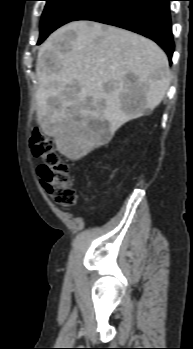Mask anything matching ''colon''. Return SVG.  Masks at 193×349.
Returning a JSON list of instances; mask_svg holds the SVG:
<instances>
[{
  "label": "colon",
  "instance_id": "1",
  "mask_svg": "<svg viewBox=\"0 0 193 349\" xmlns=\"http://www.w3.org/2000/svg\"><path fill=\"white\" fill-rule=\"evenodd\" d=\"M30 148L33 155L41 160L38 174L48 194L64 208L74 206L76 192L73 187L70 167L58 155L52 138L43 134L38 128H33Z\"/></svg>",
  "mask_w": 193,
  "mask_h": 349
}]
</instances>
